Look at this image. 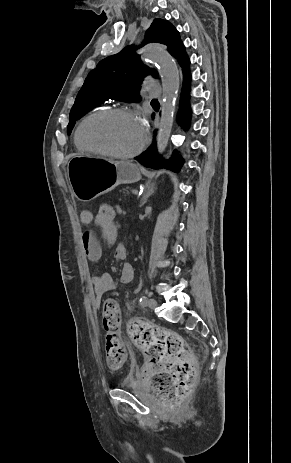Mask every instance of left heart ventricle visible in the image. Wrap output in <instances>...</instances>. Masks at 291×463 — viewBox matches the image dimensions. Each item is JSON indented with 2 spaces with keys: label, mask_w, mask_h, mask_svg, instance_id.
I'll use <instances>...</instances> for the list:
<instances>
[{
  "label": "left heart ventricle",
  "mask_w": 291,
  "mask_h": 463,
  "mask_svg": "<svg viewBox=\"0 0 291 463\" xmlns=\"http://www.w3.org/2000/svg\"><path fill=\"white\" fill-rule=\"evenodd\" d=\"M86 140L97 147L125 153L135 150L142 141L140 123L125 116L95 118L84 129Z\"/></svg>",
  "instance_id": "b2bd125f"
}]
</instances>
